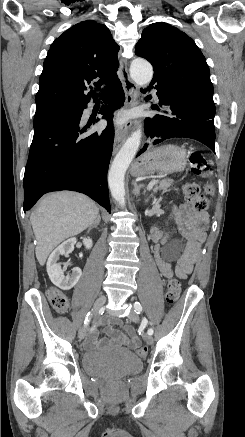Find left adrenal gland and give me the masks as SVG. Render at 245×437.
I'll return each instance as SVG.
<instances>
[{"label": "left adrenal gland", "mask_w": 245, "mask_h": 437, "mask_svg": "<svg viewBox=\"0 0 245 437\" xmlns=\"http://www.w3.org/2000/svg\"><path fill=\"white\" fill-rule=\"evenodd\" d=\"M133 186H134V190H133V194L135 196H140V190L142 188V185H138L136 182H133ZM143 194L145 195V191L143 192Z\"/></svg>", "instance_id": "a2214340"}]
</instances>
